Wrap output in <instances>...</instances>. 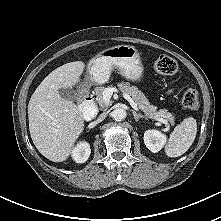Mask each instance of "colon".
Here are the masks:
<instances>
[{"label": "colon", "mask_w": 221, "mask_h": 221, "mask_svg": "<svg viewBox=\"0 0 221 221\" xmlns=\"http://www.w3.org/2000/svg\"><path fill=\"white\" fill-rule=\"evenodd\" d=\"M156 71L162 75H174L178 64L172 57L160 55L154 63ZM182 104L188 110H196L200 105L199 94L195 89H187L182 96Z\"/></svg>", "instance_id": "1"}]
</instances>
